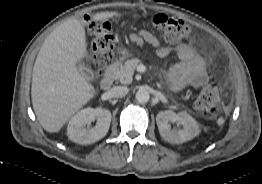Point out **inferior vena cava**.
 <instances>
[{
  "mask_svg": "<svg viewBox=\"0 0 262 184\" xmlns=\"http://www.w3.org/2000/svg\"><path fill=\"white\" fill-rule=\"evenodd\" d=\"M129 89L126 86H115L110 89L109 94L111 97H123L128 93Z\"/></svg>",
  "mask_w": 262,
  "mask_h": 184,
  "instance_id": "inferior-vena-cava-1",
  "label": "inferior vena cava"
}]
</instances>
